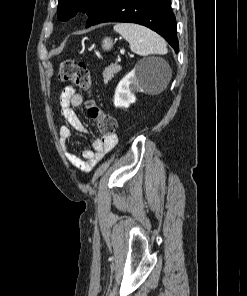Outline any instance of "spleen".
<instances>
[{"label":"spleen","instance_id":"3e777b00","mask_svg":"<svg viewBox=\"0 0 247 296\" xmlns=\"http://www.w3.org/2000/svg\"><path fill=\"white\" fill-rule=\"evenodd\" d=\"M114 30L129 43L132 52L141 56L161 55L167 53L164 39L154 31L133 23H118ZM171 74L169 75L170 79Z\"/></svg>","mask_w":247,"mask_h":296}]
</instances>
